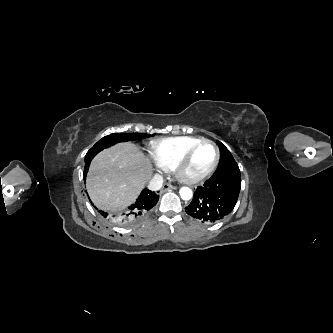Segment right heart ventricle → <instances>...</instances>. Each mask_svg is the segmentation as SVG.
Instances as JSON below:
<instances>
[{
	"label": "right heart ventricle",
	"mask_w": 333,
	"mask_h": 333,
	"mask_svg": "<svg viewBox=\"0 0 333 333\" xmlns=\"http://www.w3.org/2000/svg\"><path fill=\"white\" fill-rule=\"evenodd\" d=\"M202 140L193 136L167 137L152 143L155 158L165 169H173L182 154Z\"/></svg>",
	"instance_id": "right-heart-ventricle-1"
}]
</instances>
